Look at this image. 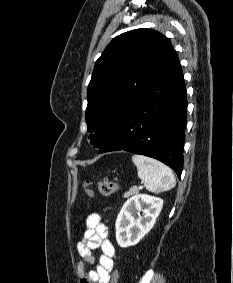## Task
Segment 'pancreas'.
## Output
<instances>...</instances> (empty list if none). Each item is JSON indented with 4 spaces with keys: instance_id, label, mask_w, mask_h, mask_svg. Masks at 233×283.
I'll return each instance as SVG.
<instances>
[{
    "instance_id": "pancreas-1",
    "label": "pancreas",
    "mask_w": 233,
    "mask_h": 283,
    "mask_svg": "<svg viewBox=\"0 0 233 283\" xmlns=\"http://www.w3.org/2000/svg\"><path fill=\"white\" fill-rule=\"evenodd\" d=\"M138 192H139V190L136 187H132V188H130L129 191H127L125 193V197H129V196H132V195H137Z\"/></svg>"
}]
</instances>
